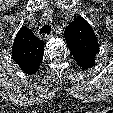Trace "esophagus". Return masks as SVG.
Masks as SVG:
<instances>
[{
    "instance_id": "1",
    "label": "esophagus",
    "mask_w": 113,
    "mask_h": 113,
    "mask_svg": "<svg viewBox=\"0 0 113 113\" xmlns=\"http://www.w3.org/2000/svg\"><path fill=\"white\" fill-rule=\"evenodd\" d=\"M54 36H55V34H53V33H52V34H49V35H45V36H44V39H45V40H48V39H50V38H52V37H54Z\"/></svg>"
}]
</instances>
